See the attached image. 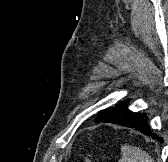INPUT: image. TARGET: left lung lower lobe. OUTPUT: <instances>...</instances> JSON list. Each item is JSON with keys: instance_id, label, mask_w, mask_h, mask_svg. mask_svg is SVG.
<instances>
[{"instance_id": "0a47b994", "label": "left lung lower lobe", "mask_w": 168, "mask_h": 162, "mask_svg": "<svg viewBox=\"0 0 168 162\" xmlns=\"http://www.w3.org/2000/svg\"><path fill=\"white\" fill-rule=\"evenodd\" d=\"M127 106L128 102L124 101L116 104L115 107L105 109L102 111L101 117L99 119H95V122L112 123L125 127L135 128L143 134L151 136L154 139L162 142L163 139L152 132L146 114L133 113L127 108Z\"/></svg>"}]
</instances>
